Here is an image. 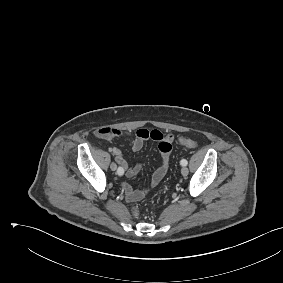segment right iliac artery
I'll return each instance as SVG.
<instances>
[{
	"mask_svg": "<svg viewBox=\"0 0 283 283\" xmlns=\"http://www.w3.org/2000/svg\"><path fill=\"white\" fill-rule=\"evenodd\" d=\"M122 172H123V170L119 167V168H118V175H121Z\"/></svg>",
	"mask_w": 283,
	"mask_h": 283,
	"instance_id": "82829eb1",
	"label": "right iliac artery"
}]
</instances>
